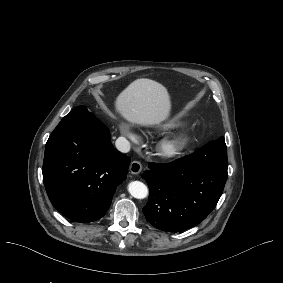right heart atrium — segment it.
I'll return each instance as SVG.
<instances>
[{"label":"right heart atrium","mask_w":283,"mask_h":283,"mask_svg":"<svg viewBox=\"0 0 283 283\" xmlns=\"http://www.w3.org/2000/svg\"><path fill=\"white\" fill-rule=\"evenodd\" d=\"M117 127L120 135L123 138L135 143L139 141L140 135L138 129L132 127L126 121L119 119L117 121Z\"/></svg>","instance_id":"d8ad5b80"}]
</instances>
